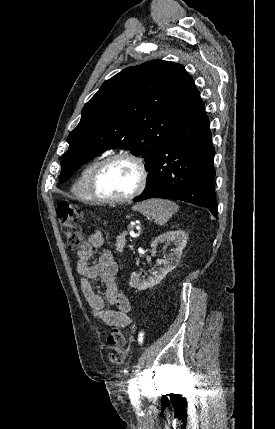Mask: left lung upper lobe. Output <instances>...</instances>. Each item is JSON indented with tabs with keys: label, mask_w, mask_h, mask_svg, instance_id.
Returning <instances> with one entry per match:
<instances>
[{
	"label": "left lung upper lobe",
	"mask_w": 275,
	"mask_h": 429,
	"mask_svg": "<svg viewBox=\"0 0 275 429\" xmlns=\"http://www.w3.org/2000/svg\"><path fill=\"white\" fill-rule=\"evenodd\" d=\"M196 87L180 64L152 60L105 81L70 132L59 182L108 149H130L149 167L186 112Z\"/></svg>",
	"instance_id": "5c2ea615"
}]
</instances>
